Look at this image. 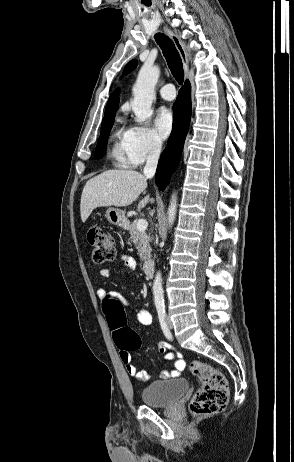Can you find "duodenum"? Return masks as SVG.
<instances>
[{"instance_id":"1","label":"duodenum","mask_w":294,"mask_h":462,"mask_svg":"<svg viewBox=\"0 0 294 462\" xmlns=\"http://www.w3.org/2000/svg\"><path fill=\"white\" fill-rule=\"evenodd\" d=\"M143 270L146 276H152L154 274V262L150 259L145 260Z\"/></svg>"}]
</instances>
